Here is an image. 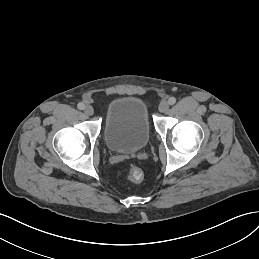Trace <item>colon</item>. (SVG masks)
<instances>
[{
  "instance_id": "colon-1",
  "label": "colon",
  "mask_w": 259,
  "mask_h": 259,
  "mask_svg": "<svg viewBox=\"0 0 259 259\" xmlns=\"http://www.w3.org/2000/svg\"><path fill=\"white\" fill-rule=\"evenodd\" d=\"M127 178L130 182L138 183L143 179V172L137 166H131L127 172Z\"/></svg>"
}]
</instances>
